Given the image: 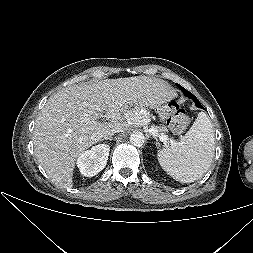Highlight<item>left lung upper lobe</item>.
Returning <instances> with one entry per match:
<instances>
[{"label": "left lung upper lobe", "mask_w": 253, "mask_h": 253, "mask_svg": "<svg viewBox=\"0 0 253 253\" xmlns=\"http://www.w3.org/2000/svg\"><path fill=\"white\" fill-rule=\"evenodd\" d=\"M178 87L183 91L184 95L190 98L191 93L184 89L182 86L178 85Z\"/></svg>", "instance_id": "left-lung-upper-lobe-1"}]
</instances>
